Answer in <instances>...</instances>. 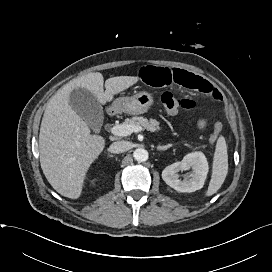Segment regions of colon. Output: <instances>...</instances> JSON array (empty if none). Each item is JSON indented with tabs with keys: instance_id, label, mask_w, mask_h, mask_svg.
I'll list each match as a JSON object with an SVG mask.
<instances>
[{
	"instance_id": "obj_1",
	"label": "colon",
	"mask_w": 272,
	"mask_h": 272,
	"mask_svg": "<svg viewBox=\"0 0 272 272\" xmlns=\"http://www.w3.org/2000/svg\"><path fill=\"white\" fill-rule=\"evenodd\" d=\"M161 105L168 113H177L181 110H189L195 106V102L188 98H179L170 92H164L161 96ZM222 131V125L217 122L211 134V140L215 141Z\"/></svg>"
}]
</instances>
